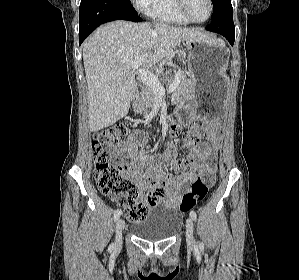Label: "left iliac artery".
I'll use <instances>...</instances> for the list:
<instances>
[{
    "mask_svg": "<svg viewBox=\"0 0 299 280\" xmlns=\"http://www.w3.org/2000/svg\"><path fill=\"white\" fill-rule=\"evenodd\" d=\"M190 217H191L193 220H196V218H197V214H196V212H195V211H190ZM202 246H203V244L200 243V247H202Z\"/></svg>",
    "mask_w": 299,
    "mask_h": 280,
    "instance_id": "1",
    "label": "left iliac artery"
}]
</instances>
